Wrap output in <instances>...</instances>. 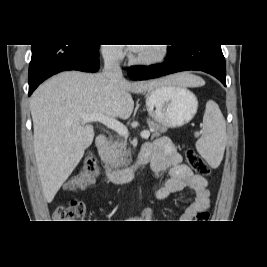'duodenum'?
<instances>
[{"instance_id": "obj_1", "label": "duodenum", "mask_w": 267, "mask_h": 267, "mask_svg": "<svg viewBox=\"0 0 267 267\" xmlns=\"http://www.w3.org/2000/svg\"><path fill=\"white\" fill-rule=\"evenodd\" d=\"M97 154L101 161L103 174L105 178L114 183L125 182L133 179L135 172L140 167L146 165L149 161L148 157L139 156L136 162L127 168L124 169H114L111 168L106 161V145L107 137L105 134H99L95 140Z\"/></svg>"}]
</instances>
